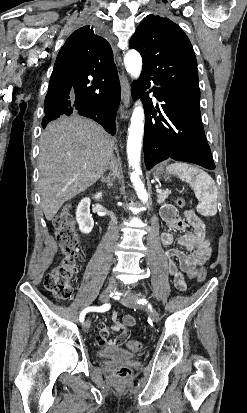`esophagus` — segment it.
Wrapping results in <instances>:
<instances>
[{
  "label": "esophagus",
  "mask_w": 247,
  "mask_h": 413,
  "mask_svg": "<svg viewBox=\"0 0 247 413\" xmlns=\"http://www.w3.org/2000/svg\"><path fill=\"white\" fill-rule=\"evenodd\" d=\"M116 58L117 57V51L115 50ZM121 89H122V100L125 108H128L129 103H130V86L128 83L127 78L125 75H121ZM123 118H128V114L126 112L123 113Z\"/></svg>",
  "instance_id": "esophagus-1"
}]
</instances>
